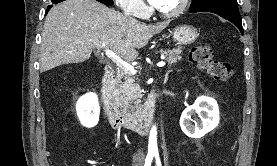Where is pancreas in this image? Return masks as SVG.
I'll list each match as a JSON object with an SVG mask.
<instances>
[{"instance_id":"1","label":"pancreas","mask_w":277,"mask_h":166,"mask_svg":"<svg viewBox=\"0 0 277 166\" xmlns=\"http://www.w3.org/2000/svg\"><path fill=\"white\" fill-rule=\"evenodd\" d=\"M160 53L167 57L168 64L176 63L182 58V48L180 47L172 50H160ZM137 87L133 74L128 70L119 68L113 82L114 98L120 103L124 112H129L132 115H138L142 111L137 96Z\"/></svg>"}]
</instances>
